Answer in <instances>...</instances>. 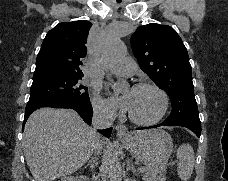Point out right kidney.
I'll return each mask as SVG.
<instances>
[{
	"label": "right kidney",
	"instance_id": "1",
	"mask_svg": "<svg viewBox=\"0 0 228 181\" xmlns=\"http://www.w3.org/2000/svg\"><path fill=\"white\" fill-rule=\"evenodd\" d=\"M61 181H87L86 177H64Z\"/></svg>",
	"mask_w": 228,
	"mask_h": 181
}]
</instances>
